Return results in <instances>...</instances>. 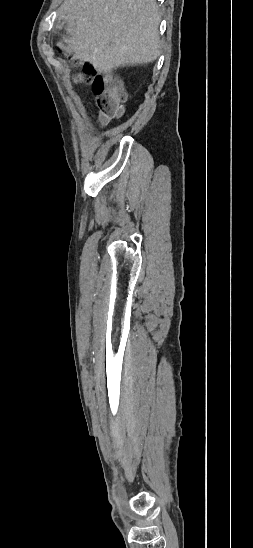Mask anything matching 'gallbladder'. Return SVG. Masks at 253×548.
<instances>
[{
  "instance_id": "bac80fb5",
  "label": "gallbladder",
  "mask_w": 253,
  "mask_h": 548,
  "mask_svg": "<svg viewBox=\"0 0 253 548\" xmlns=\"http://www.w3.org/2000/svg\"><path fill=\"white\" fill-rule=\"evenodd\" d=\"M62 23H63V20L59 21V25H62Z\"/></svg>"
}]
</instances>
